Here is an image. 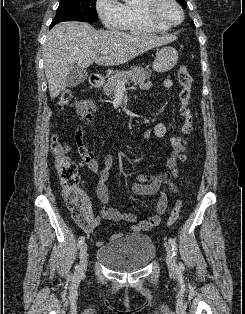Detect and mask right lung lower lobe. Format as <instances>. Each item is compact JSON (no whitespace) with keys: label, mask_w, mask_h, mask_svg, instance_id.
<instances>
[{"label":"right lung lower lobe","mask_w":245,"mask_h":314,"mask_svg":"<svg viewBox=\"0 0 245 314\" xmlns=\"http://www.w3.org/2000/svg\"><path fill=\"white\" fill-rule=\"evenodd\" d=\"M54 25H50V28H52Z\"/></svg>","instance_id":"right-lung-lower-lobe-1"}]
</instances>
